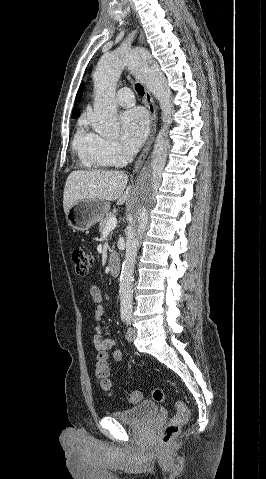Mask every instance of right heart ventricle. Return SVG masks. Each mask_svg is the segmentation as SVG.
Returning <instances> with one entry per match:
<instances>
[{"label": "right heart ventricle", "mask_w": 266, "mask_h": 479, "mask_svg": "<svg viewBox=\"0 0 266 479\" xmlns=\"http://www.w3.org/2000/svg\"><path fill=\"white\" fill-rule=\"evenodd\" d=\"M73 150L86 168L108 169L112 164L100 151V136L88 132L81 121L73 140Z\"/></svg>", "instance_id": "e07e8e85"}]
</instances>
